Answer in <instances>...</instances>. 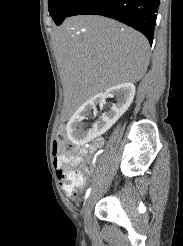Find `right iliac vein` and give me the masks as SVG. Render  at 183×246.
<instances>
[{
  "label": "right iliac vein",
  "mask_w": 183,
  "mask_h": 246,
  "mask_svg": "<svg viewBox=\"0 0 183 246\" xmlns=\"http://www.w3.org/2000/svg\"><path fill=\"white\" fill-rule=\"evenodd\" d=\"M92 196L89 197L84 208V224L86 228L91 226Z\"/></svg>",
  "instance_id": "right-iliac-vein-1"
}]
</instances>
